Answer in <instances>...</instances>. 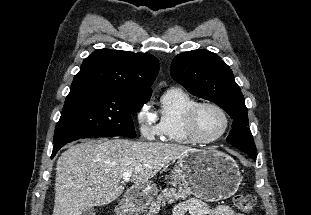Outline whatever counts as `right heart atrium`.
Listing matches in <instances>:
<instances>
[{"mask_svg":"<svg viewBox=\"0 0 311 215\" xmlns=\"http://www.w3.org/2000/svg\"><path fill=\"white\" fill-rule=\"evenodd\" d=\"M135 121L142 138L155 140L161 136V128L148 103L141 104L135 112Z\"/></svg>","mask_w":311,"mask_h":215,"instance_id":"right-heart-atrium-1","label":"right heart atrium"}]
</instances>
